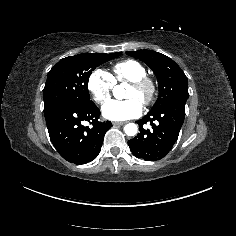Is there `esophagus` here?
Segmentation results:
<instances>
[{"label":"esophagus","mask_w":236,"mask_h":236,"mask_svg":"<svg viewBox=\"0 0 236 236\" xmlns=\"http://www.w3.org/2000/svg\"><path fill=\"white\" fill-rule=\"evenodd\" d=\"M126 122H112L113 126H121L124 125Z\"/></svg>","instance_id":"34e87169"}]
</instances>
